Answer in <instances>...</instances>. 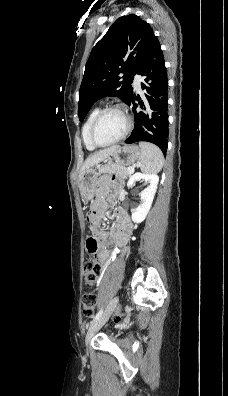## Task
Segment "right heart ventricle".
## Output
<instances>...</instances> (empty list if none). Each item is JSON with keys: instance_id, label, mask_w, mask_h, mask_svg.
Masks as SVG:
<instances>
[{"instance_id": "1", "label": "right heart ventricle", "mask_w": 228, "mask_h": 396, "mask_svg": "<svg viewBox=\"0 0 228 396\" xmlns=\"http://www.w3.org/2000/svg\"><path fill=\"white\" fill-rule=\"evenodd\" d=\"M101 109L99 107H94L90 113L88 114L83 127H82V138H83V142L84 145L86 146V148L90 151H93L96 149V147L91 143L90 138H89V130L91 127V124L95 118V116L97 115V113L100 111Z\"/></svg>"}]
</instances>
